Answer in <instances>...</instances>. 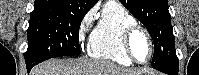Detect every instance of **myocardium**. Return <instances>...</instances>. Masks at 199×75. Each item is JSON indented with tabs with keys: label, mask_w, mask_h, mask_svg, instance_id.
Returning <instances> with one entry per match:
<instances>
[{
	"label": "myocardium",
	"mask_w": 199,
	"mask_h": 75,
	"mask_svg": "<svg viewBox=\"0 0 199 75\" xmlns=\"http://www.w3.org/2000/svg\"><path fill=\"white\" fill-rule=\"evenodd\" d=\"M136 32H141L142 34L145 35V37L147 38L148 42H149V46H150V53L149 56L147 58L146 61L144 62H140L136 59V57L134 56L132 49H131V39L133 37V35ZM122 41H123V45L125 48V51L127 53V55L129 56V58L136 64L139 65H144L149 63V61L151 60L153 54H154V43H153V39L149 33V31L142 25L138 24V23H133L129 26H127L122 33Z\"/></svg>",
	"instance_id": "1"
}]
</instances>
